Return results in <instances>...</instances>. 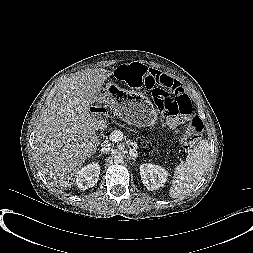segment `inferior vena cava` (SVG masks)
<instances>
[{
  "instance_id": "inferior-vena-cava-1",
  "label": "inferior vena cava",
  "mask_w": 253,
  "mask_h": 253,
  "mask_svg": "<svg viewBox=\"0 0 253 253\" xmlns=\"http://www.w3.org/2000/svg\"><path fill=\"white\" fill-rule=\"evenodd\" d=\"M103 152H111L113 150L112 147H110L109 144L104 145V147L101 149Z\"/></svg>"
}]
</instances>
